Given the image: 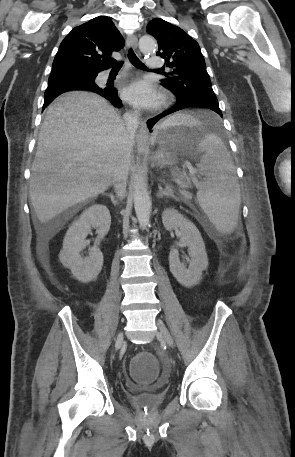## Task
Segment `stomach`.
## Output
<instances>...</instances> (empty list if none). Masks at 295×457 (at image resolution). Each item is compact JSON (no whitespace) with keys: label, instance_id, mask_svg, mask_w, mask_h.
<instances>
[{"label":"stomach","instance_id":"1","mask_svg":"<svg viewBox=\"0 0 295 457\" xmlns=\"http://www.w3.org/2000/svg\"><path fill=\"white\" fill-rule=\"evenodd\" d=\"M209 135L207 125L200 121L197 125L176 124L159 126L153 133V142L159 149L150 157L152 163L164 167L174 164L178 152L184 147H198Z\"/></svg>","mask_w":295,"mask_h":457}]
</instances>
